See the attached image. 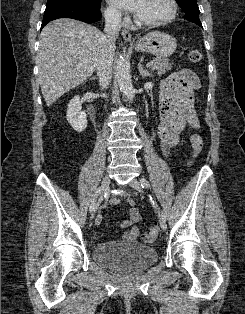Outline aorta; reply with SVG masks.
Segmentation results:
<instances>
[{
    "label": "aorta",
    "mask_w": 245,
    "mask_h": 314,
    "mask_svg": "<svg viewBox=\"0 0 245 314\" xmlns=\"http://www.w3.org/2000/svg\"><path fill=\"white\" fill-rule=\"evenodd\" d=\"M116 76L120 90L129 98L135 97V89L130 75V63L125 54H120L116 65Z\"/></svg>",
    "instance_id": "obj_1"
}]
</instances>
